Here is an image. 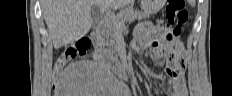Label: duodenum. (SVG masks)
I'll return each instance as SVG.
<instances>
[{"label": "duodenum", "instance_id": "obj_1", "mask_svg": "<svg viewBox=\"0 0 232 96\" xmlns=\"http://www.w3.org/2000/svg\"><path fill=\"white\" fill-rule=\"evenodd\" d=\"M99 31H100L99 28H95L92 31L91 36L96 37L98 35ZM95 55L97 57H102L104 60H107L109 58V56L107 54H105L103 52H100V51H96ZM110 65L115 70L118 77L127 78V76H128V67H127L125 62L110 61Z\"/></svg>", "mask_w": 232, "mask_h": 96}]
</instances>
